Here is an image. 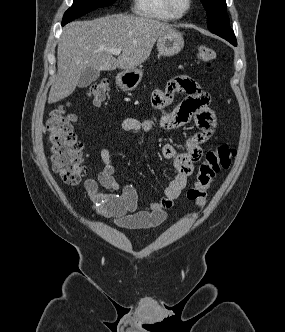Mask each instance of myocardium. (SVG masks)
Masks as SVG:
<instances>
[{
	"label": "myocardium",
	"mask_w": 285,
	"mask_h": 332,
	"mask_svg": "<svg viewBox=\"0 0 285 332\" xmlns=\"http://www.w3.org/2000/svg\"><path fill=\"white\" fill-rule=\"evenodd\" d=\"M165 4L171 13H173L177 17L181 18L190 11V9L193 6V0H187V6L184 9H179L176 6L174 0H165Z\"/></svg>",
	"instance_id": "1"
}]
</instances>
